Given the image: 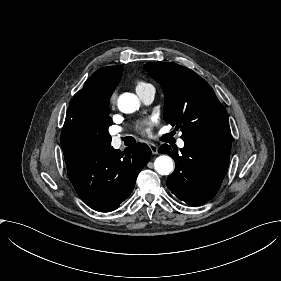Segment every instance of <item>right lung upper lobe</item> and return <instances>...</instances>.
<instances>
[{
	"label": "right lung upper lobe",
	"instance_id": "right-lung-upper-lobe-1",
	"mask_svg": "<svg viewBox=\"0 0 281 281\" xmlns=\"http://www.w3.org/2000/svg\"><path fill=\"white\" fill-rule=\"evenodd\" d=\"M123 72V65L104 67L92 74L78 91L66 113V120L78 119L89 114L100 120L110 114L109 99L118 85Z\"/></svg>",
	"mask_w": 281,
	"mask_h": 281
}]
</instances>
